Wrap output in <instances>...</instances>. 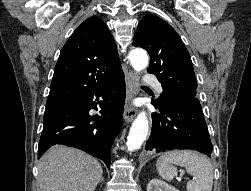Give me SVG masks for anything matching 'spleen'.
Segmentation results:
<instances>
[{
    "instance_id": "1",
    "label": "spleen",
    "mask_w": 251,
    "mask_h": 191,
    "mask_svg": "<svg viewBox=\"0 0 251 191\" xmlns=\"http://www.w3.org/2000/svg\"><path fill=\"white\" fill-rule=\"evenodd\" d=\"M174 163V165H173ZM157 171L163 179L171 181L177 175V167H185L187 173L196 175V179L187 181V191H212L213 167L211 161L193 149H173L165 151L157 159Z\"/></svg>"
}]
</instances>
